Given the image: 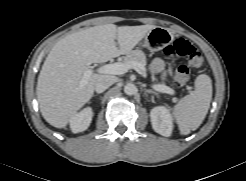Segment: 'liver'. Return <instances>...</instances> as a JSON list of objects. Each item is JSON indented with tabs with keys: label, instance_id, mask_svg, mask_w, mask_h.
<instances>
[{
	"label": "liver",
	"instance_id": "6515ba94",
	"mask_svg": "<svg viewBox=\"0 0 246 181\" xmlns=\"http://www.w3.org/2000/svg\"><path fill=\"white\" fill-rule=\"evenodd\" d=\"M155 27L105 24L59 40L38 76L36 93L43 118L56 128L66 127L70 118L91 99L101 76L92 74L81 86L86 69L92 63L128 54Z\"/></svg>",
	"mask_w": 246,
	"mask_h": 181
}]
</instances>
